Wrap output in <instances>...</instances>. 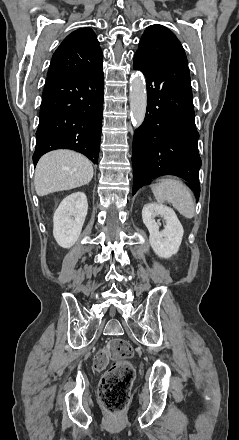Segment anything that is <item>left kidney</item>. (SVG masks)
<instances>
[{
  "label": "left kidney",
  "instance_id": "1",
  "mask_svg": "<svg viewBox=\"0 0 239 440\" xmlns=\"http://www.w3.org/2000/svg\"><path fill=\"white\" fill-rule=\"evenodd\" d=\"M157 216L166 220L165 230L162 232H159L158 222H155ZM142 220L149 230V244L159 258H171L173 254H177L184 230L172 208L150 202L143 206Z\"/></svg>",
  "mask_w": 239,
  "mask_h": 440
}]
</instances>
